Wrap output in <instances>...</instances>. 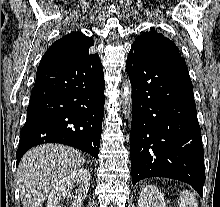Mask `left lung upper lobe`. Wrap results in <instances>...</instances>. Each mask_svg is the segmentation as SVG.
<instances>
[{
	"label": "left lung upper lobe",
	"instance_id": "left-lung-upper-lobe-1",
	"mask_svg": "<svg viewBox=\"0 0 220 207\" xmlns=\"http://www.w3.org/2000/svg\"><path fill=\"white\" fill-rule=\"evenodd\" d=\"M132 47L156 54L181 56L179 49L173 41L158 33L155 28L137 36Z\"/></svg>",
	"mask_w": 220,
	"mask_h": 207
}]
</instances>
